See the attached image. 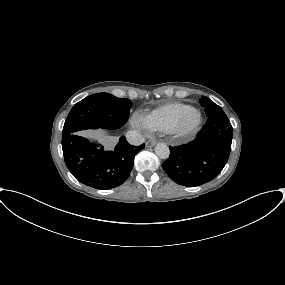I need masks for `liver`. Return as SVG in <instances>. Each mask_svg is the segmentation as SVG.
I'll use <instances>...</instances> for the list:
<instances>
[{
    "instance_id": "liver-1",
    "label": "liver",
    "mask_w": 285,
    "mask_h": 285,
    "mask_svg": "<svg viewBox=\"0 0 285 285\" xmlns=\"http://www.w3.org/2000/svg\"><path fill=\"white\" fill-rule=\"evenodd\" d=\"M81 135L87 138H95L98 142L106 147L113 143V137L105 135L103 130L83 131Z\"/></svg>"
}]
</instances>
